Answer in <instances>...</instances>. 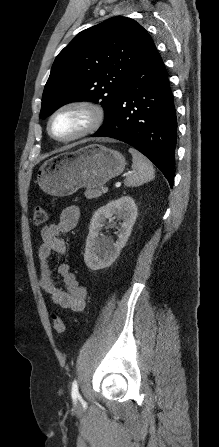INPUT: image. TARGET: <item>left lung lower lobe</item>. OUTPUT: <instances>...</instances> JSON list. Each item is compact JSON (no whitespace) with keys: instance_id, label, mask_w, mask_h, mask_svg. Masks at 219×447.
Returning <instances> with one entry per match:
<instances>
[{"instance_id":"obj_1","label":"left lung lower lobe","mask_w":219,"mask_h":447,"mask_svg":"<svg viewBox=\"0 0 219 447\" xmlns=\"http://www.w3.org/2000/svg\"><path fill=\"white\" fill-rule=\"evenodd\" d=\"M177 120L164 63L151 39L131 70L111 114L93 137L121 140L148 157L171 188Z\"/></svg>"}]
</instances>
